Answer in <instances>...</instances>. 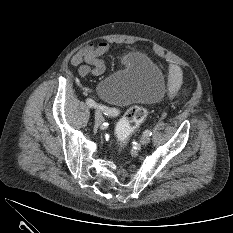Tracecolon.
Masks as SVG:
<instances>
[{
  "mask_svg": "<svg viewBox=\"0 0 233 233\" xmlns=\"http://www.w3.org/2000/svg\"><path fill=\"white\" fill-rule=\"evenodd\" d=\"M147 110L144 107L133 106L129 108L119 121L116 135L120 145H125L133 132L145 121Z\"/></svg>",
  "mask_w": 233,
  "mask_h": 233,
  "instance_id": "colon-1",
  "label": "colon"
}]
</instances>
